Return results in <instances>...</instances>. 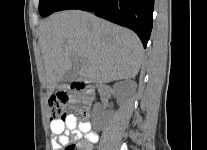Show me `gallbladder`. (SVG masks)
Wrapping results in <instances>:
<instances>
[{"label": "gallbladder", "instance_id": "obj_1", "mask_svg": "<svg viewBox=\"0 0 207 150\" xmlns=\"http://www.w3.org/2000/svg\"><path fill=\"white\" fill-rule=\"evenodd\" d=\"M74 78H75V71H74V69H71L63 75L61 81L59 82V84L57 86V89L64 88Z\"/></svg>", "mask_w": 207, "mask_h": 150}]
</instances>
